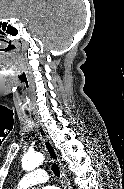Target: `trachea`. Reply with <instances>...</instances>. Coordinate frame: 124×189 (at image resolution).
<instances>
[{"label":"trachea","instance_id":"obj_1","mask_svg":"<svg viewBox=\"0 0 124 189\" xmlns=\"http://www.w3.org/2000/svg\"><path fill=\"white\" fill-rule=\"evenodd\" d=\"M52 171H53V173H54L57 177H60V170H59L58 165L53 164V165H52Z\"/></svg>","mask_w":124,"mask_h":189}]
</instances>
